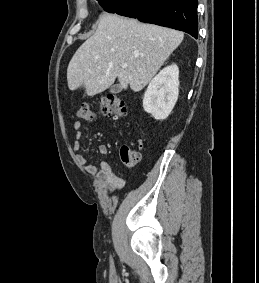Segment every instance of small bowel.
<instances>
[{
	"mask_svg": "<svg viewBox=\"0 0 259 283\" xmlns=\"http://www.w3.org/2000/svg\"><path fill=\"white\" fill-rule=\"evenodd\" d=\"M74 128V149L79 150L81 148V138H82V124L79 121L73 123ZM99 153L101 155L108 154V148L105 145L99 146ZM77 163L84 169L85 172L92 175L102 192H114L120 190L125 186V181L114 173L112 167L108 162L102 161L99 166L88 163L86 157L82 154L76 155ZM131 168V166H127Z\"/></svg>",
	"mask_w": 259,
	"mask_h": 283,
	"instance_id": "c3829d8e",
	"label": "small bowel"
}]
</instances>
